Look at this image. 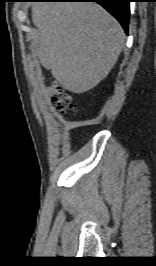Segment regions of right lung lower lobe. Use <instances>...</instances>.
<instances>
[{
    "instance_id": "98d812e1",
    "label": "right lung lower lobe",
    "mask_w": 156,
    "mask_h": 266,
    "mask_svg": "<svg viewBox=\"0 0 156 266\" xmlns=\"http://www.w3.org/2000/svg\"><path fill=\"white\" fill-rule=\"evenodd\" d=\"M40 2H97L110 12L128 34L130 0H35Z\"/></svg>"
}]
</instances>
